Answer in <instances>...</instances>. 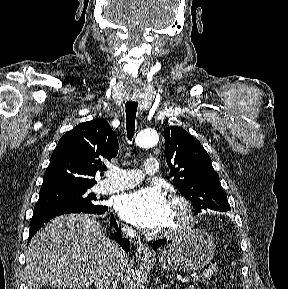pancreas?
<instances>
[{
    "label": "pancreas",
    "instance_id": "obj_1",
    "mask_svg": "<svg viewBox=\"0 0 288 289\" xmlns=\"http://www.w3.org/2000/svg\"><path fill=\"white\" fill-rule=\"evenodd\" d=\"M205 273H207V278H210L211 274L213 273V270L212 269H208L205 271Z\"/></svg>",
    "mask_w": 288,
    "mask_h": 289
}]
</instances>
